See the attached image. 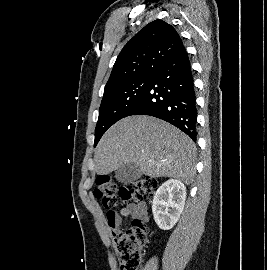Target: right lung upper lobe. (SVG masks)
Here are the masks:
<instances>
[{"mask_svg": "<svg viewBox=\"0 0 267 270\" xmlns=\"http://www.w3.org/2000/svg\"><path fill=\"white\" fill-rule=\"evenodd\" d=\"M181 47L182 40L173 26L162 20L152 21L123 47L104 90L153 76Z\"/></svg>", "mask_w": 267, "mask_h": 270, "instance_id": "obj_1", "label": "right lung upper lobe"}]
</instances>
